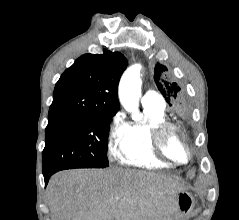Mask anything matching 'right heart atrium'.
Returning a JSON list of instances; mask_svg holds the SVG:
<instances>
[{"label": "right heart atrium", "mask_w": 239, "mask_h": 220, "mask_svg": "<svg viewBox=\"0 0 239 220\" xmlns=\"http://www.w3.org/2000/svg\"><path fill=\"white\" fill-rule=\"evenodd\" d=\"M129 132V124L122 112H116L110 119L107 132V148L110 155L116 157L120 144L125 140Z\"/></svg>", "instance_id": "right-heart-atrium-1"}]
</instances>
